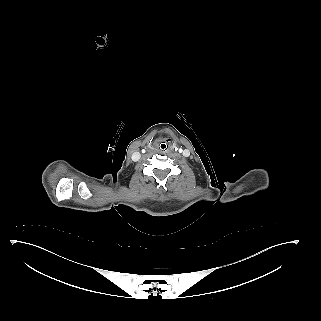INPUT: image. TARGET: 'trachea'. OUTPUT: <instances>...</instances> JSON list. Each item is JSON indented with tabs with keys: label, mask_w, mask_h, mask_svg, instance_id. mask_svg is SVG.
Returning <instances> with one entry per match:
<instances>
[{
	"label": "trachea",
	"mask_w": 321,
	"mask_h": 321,
	"mask_svg": "<svg viewBox=\"0 0 321 321\" xmlns=\"http://www.w3.org/2000/svg\"><path fill=\"white\" fill-rule=\"evenodd\" d=\"M158 150H159L161 153H166V152L169 150V145H168L166 142H161V143L158 145Z\"/></svg>",
	"instance_id": "obj_1"
}]
</instances>
